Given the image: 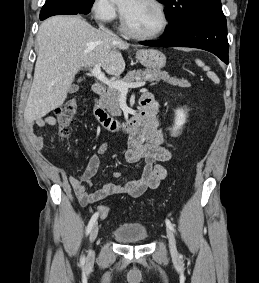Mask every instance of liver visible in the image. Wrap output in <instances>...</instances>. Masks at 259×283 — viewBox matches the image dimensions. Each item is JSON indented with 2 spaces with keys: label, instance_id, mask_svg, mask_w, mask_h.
I'll use <instances>...</instances> for the list:
<instances>
[{
  "label": "liver",
  "instance_id": "1",
  "mask_svg": "<svg viewBox=\"0 0 259 283\" xmlns=\"http://www.w3.org/2000/svg\"><path fill=\"white\" fill-rule=\"evenodd\" d=\"M38 45L34 79L24 110L27 122L60 107L82 67L99 64L107 74L120 75L125 69L120 50L129 47L79 15L53 16L43 21Z\"/></svg>",
  "mask_w": 259,
  "mask_h": 283
}]
</instances>
